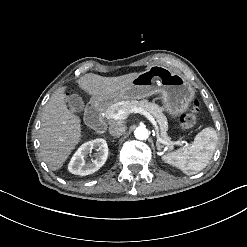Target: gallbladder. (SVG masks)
Segmentation results:
<instances>
[{"label":"gallbladder","mask_w":247,"mask_h":247,"mask_svg":"<svg viewBox=\"0 0 247 247\" xmlns=\"http://www.w3.org/2000/svg\"><path fill=\"white\" fill-rule=\"evenodd\" d=\"M68 104L71 112H75L83 108L82 100L78 95L70 96L68 98Z\"/></svg>","instance_id":"1"}]
</instances>
